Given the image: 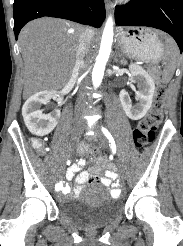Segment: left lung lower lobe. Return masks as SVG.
I'll return each mask as SVG.
<instances>
[{
	"instance_id": "1",
	"label": "left lung lower lobe",
	"mask_w": 183,
	"mask_h": 246,
	"mask_svg": "<svg viewBox=\"0 0 183 246\" xmlns=\"http://www.w3.org/2000/svg\"><path fill=\"white\" fill-rule=\"evenodd\" d=\"M119 26H147L169 33L183 51V0H131L115 8Z\"/></svg>"
}]
</instances>
